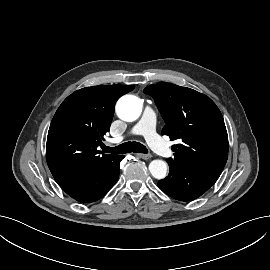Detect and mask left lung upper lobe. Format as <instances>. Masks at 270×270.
I'll list each match as a JSON object with an SVG mask.
<instances>
[{
	"label": "left lung upper lobe",
	"instance_id": "5c2ea615",
	"mask_svg": "<svg viewBox=\"0 0 270 270\" xmlns=\"http://www.w3.org/2000/svg\"><path fill=\"white\" fill-rule=\"evenodd\" d=\"M151 95L166 123L162 135L180 144L168 163L198 168L220 176L228 157V135L223 116L206 95L167 82L144 89Z\"/></svg>",
	"mask_w": 270,
	"mask_h": 270
}]
</instances>
